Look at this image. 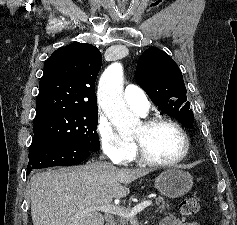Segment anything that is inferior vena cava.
Listing matches in <instances>:
<instances>
[{"label": "inferior vena cava", "instance_id": "1", "mask_svg": "<svg viewBox=\"0 0 237 225\" xmlns=\"http://www.w3.org/2000/svg\"><path fill=\"white\" fill-rule=\"evenodd\" d=\"M99 159H100V161L101 160H104L105 159V157H104V155H101L100 157H99ZM106 165H110V164H108V163H105Z\"/></svg>", "mask_w": 237, "mask_h": 225}]
</instances>
